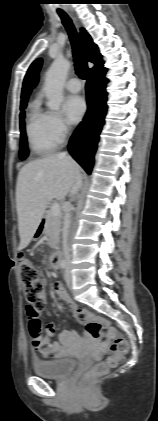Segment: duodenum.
Listing matches in <instances>:
<instances>
[{
	"label": "duodenum",
	"mask_w": 158,
	"mask_h": 421,
	"mask_svg": "<svg viewBox=\"0 0 158 421\" xmlns=\"http://www.w3.org/2000/svg\"><path fill=\"white\" fill-rule=\"evenodd\" d=\"M61 262H62L61 252L60 251L54 252L50 260L52 268L57 269L60 266Z\"/></svg>",
	"instance_id": "obj_1"
}]
</instances>
